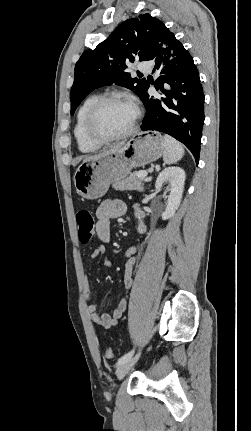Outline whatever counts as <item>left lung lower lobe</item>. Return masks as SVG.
<instances>
[{"label": "left lung lower lobe", "instance_id": "0a47b994", "mask_svg": "<svg viewBox=\"0 0 251 431\" xmlns=\"http://www.w3.org/2000/svg\"><path fill=\"white\" fill-rule=\"evenodd\" d=\"M160 76L154 84L160 93L150 96L149 83L141 96L146 107L142 131L167 133L192 152L199 161L204 122V94L196 65L189 52L170 33L155 45L150 58Z\"/></svg>", "mask_w": 251, "mask_h": 431}]
</instances>
